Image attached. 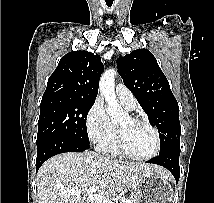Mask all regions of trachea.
I'll use <instances>...</instances> for the list:
<instances>
[{
  "mask_svg": "<svg viewBox=\"0 0 214 203\" xmlns=\"http://www.w3.org/2000/svg\"><path fill=\"white\" fill-rule=\"evenodd\" d=\"M107 6H108V7H111V6H112V3H107Z\"/></svg>",
  "mask_w": 214,
  "mask_h": 203,
  "instance_id": "1",
  "label": "trachea"
}]
</instances>
